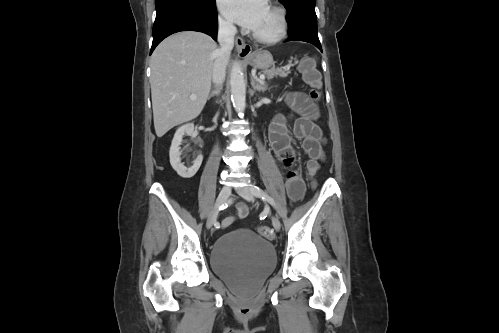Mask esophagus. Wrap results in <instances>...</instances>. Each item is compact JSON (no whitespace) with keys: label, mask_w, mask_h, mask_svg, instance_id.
I'll return each instance as SVG.
<instances>
[{"label":"esophagus","mask_w":499,"mask_h":333,"mask_svg":"<svg viewBox=\"0 0 499 333\" xmlns=\"http://www.w3.org/2000/svg\"><path fill=\"white\" fill-rule=\"evenodd\" d=\"M236 49L238 51L239 56L247 57L250 55L252 48L250 45L246 44L241 37H236L235 39Z\"/></svg>","instance_id":"obj_1"}]
</instances>
